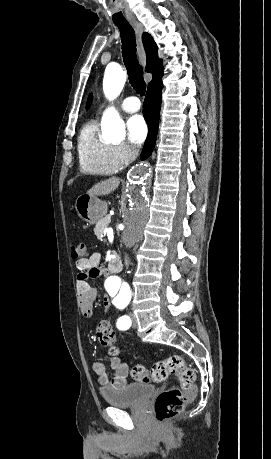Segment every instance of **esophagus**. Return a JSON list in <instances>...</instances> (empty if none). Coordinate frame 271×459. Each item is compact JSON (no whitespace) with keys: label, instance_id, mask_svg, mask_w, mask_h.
I'll return each instance as SVG.
<instances>
[{"label":"esophagus","instance_id":"34e87169","mask_svg":"<svg viewBox=\"0 0 271 459\" xmlns=\"http://www.w3.org/2000/svg\"><path fill=\"white\" fill-rule=\"evenodd\" d=\"M132 27L134 28L136 32V38H137V50L134 52V55L136 56V59L141 62L142 67H147V62H145V52L141 40V36L143 33V26L141 25L140 22H133L131 23Z\"/></svg>","mask_w":271,"mask_h":459}]
</instances>
